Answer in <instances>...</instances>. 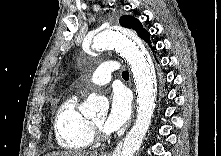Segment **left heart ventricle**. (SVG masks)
<instances>
[{"label": "left heart ventricle", "instance_id": "1", "mask_svg": "<svg viewBox=\"0 0 221 156\" xmlns=\"http://www.w3.org/2000/svg\"><path fill=\"white\" fill-rule=\"evenodd\" d=\"M97 125H99V126H103V122H104V117L102 116V117H98V118H95L94 120H93Z\"/></svg>", "mask_w": 221, "mask_h": 156}]
</instances>
